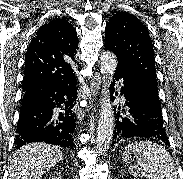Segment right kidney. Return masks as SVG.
<instances>
[{"label":"right kidney","instance_id":"obj_1","mask_svg":"<svg viewBox=\"0 0 183 179\" xmlns=\"http://www.w3.org/2000/svg\"><path fill=\"white\" fill-rule=\"evenodd\" d=\"M51 179H60L59 177H52Z\"/></svg>","mask_w":183,"mask_h":179}]
</instances>
